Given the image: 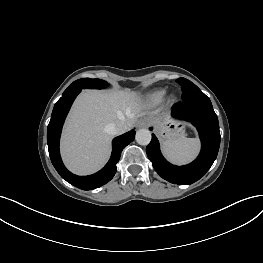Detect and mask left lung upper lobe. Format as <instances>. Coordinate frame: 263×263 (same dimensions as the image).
Returning <instances> with one entry per match:
<instances>
[{
	"mask_svg": "<svg viewBox=\"0 0 263 263\" xmlns=\"http://www.w3.org/2000/svg\"><path fill=\"white\" fill-rule=\"evenodd\" d=\"M177 82L182 87L183 100L204 94L195 84L185 78H180Z\"/></svg>",
	"mask_w": 263,
	"mask_h": 263,
	"instance_id": "left-lung-upper-lobe-1",
	"label": "left lung upper lobe"
}]
</instances>
